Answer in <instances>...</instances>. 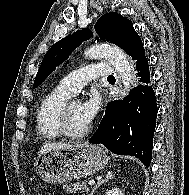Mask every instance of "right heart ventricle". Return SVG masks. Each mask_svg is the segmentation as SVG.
Listing matches in <instances>:
<instances>
[{
	"instance_id": "e07e8e85",
	"label": "right heart ventricle",
	"mask_w": 189,
	"mask_h": 195,
	"mask_svg": "<svg viewBox=\"0 0 189 195\" xmlns=\"http://www.w3.org/2000/svg\"><path fill=\"white\" fill-rule=\"evenodd\" d=\"M71 96L58 85L42 99L35 117L36 133L39 138L56 140L62 136L57 124L58 112Z\"/></svg>"
}]
</instances>
